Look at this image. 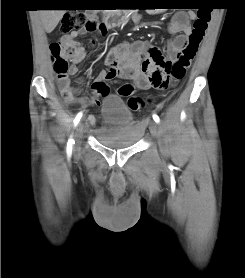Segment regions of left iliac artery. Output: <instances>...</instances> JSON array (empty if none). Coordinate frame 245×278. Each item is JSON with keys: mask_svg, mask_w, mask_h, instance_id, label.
Wrapping results in <instances>:
<instances>
[{"mask_svg": "<svg viewBox=\"0 0 245 278\" xmlns=\"http://www.w3.org/2000/svg\"><path fill=\"white\" fill-rule=\"evenodd\" d=\"M153 119L156 123H158L160 121L158 115H156V114L153 115Z\"/></svg>", "mask_w": 245, "mask_h": 278, "instance_id": "obj_1", "label": "left iliac artery"}]
</instances>
